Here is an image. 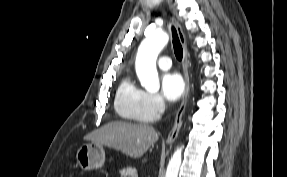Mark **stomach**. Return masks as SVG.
<instances>
[{
	"label": "stomach",
	"mask_w": 287,
	"mask_h": 177,
	"mask_svg": "<svg viewBox=\"0 0 287 177\" xmlns=\"http://www.w3.org/2000/svg\"><path fill=\"white\" fill-rule=\"evenodd\" d=\"M76 161L84 171L101 168L105 162V152L101 144L88 143L82 145L76 153Z\"/></svg>",
	"instance_id": "stomach-1"
}]
</instances>
